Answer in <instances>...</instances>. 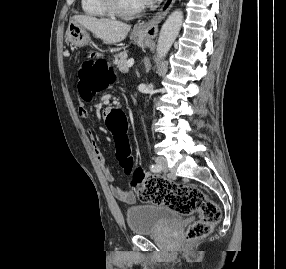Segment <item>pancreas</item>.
<instances>
[{
    "instance_id": "cf45deb5",
    "label": "pancreas",
    "mask_w": 286,
    "mask_h": 269,
    "mask_svg": "<svg viewBox=\"0 0 286 269\" xmlns=\"http://www.w3.org/2000/svg\"><path fill=\"white\" fill-rule=\"evenodd\" d=\"M127 53L122 52L117 55H115L114 64H116L117 68L121 73H127L128 72V66H127Z\"/></svg>"
}]
</instances>
